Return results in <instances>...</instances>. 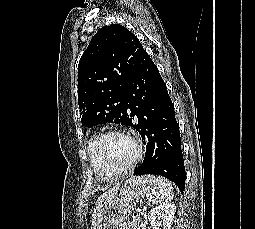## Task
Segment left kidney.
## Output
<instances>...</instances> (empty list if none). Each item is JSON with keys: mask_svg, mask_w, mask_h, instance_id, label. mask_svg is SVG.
Segmentation results:
<instances>
[{"mask_svg": "<svg viewBox=\"0 0 255 229\" xmlns=\"http://www.w3.org/2000/svg\"><path fill=\"white\" fill-rule=\"evenodd\" d=\"M176 212V206L172 203L159 205L148 214V221L152 229H171V224Z\"/></svg>", "mask_w": 255, "mask_h": 229, "instance_id": "5707ae66", "label": "left kidney"}]
</instances>
